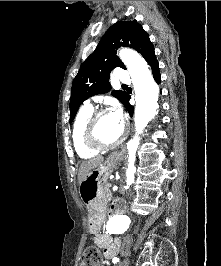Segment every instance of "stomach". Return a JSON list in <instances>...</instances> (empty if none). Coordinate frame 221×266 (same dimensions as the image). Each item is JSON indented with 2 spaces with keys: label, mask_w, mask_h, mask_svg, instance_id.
<instances>
[{
  "label": "stomach",
  "mask_w": 221,
  "mask_h": 266,
  "mask_svg": "<svg viewBox=\"0 0 221 266\" xmlns=\"http://www.w3.org/2000/svg\"><path fill=\"white\" fill-rule=\"evenodd\" d=\"M119 159L111 155L101 165L88 172L79 183L80 198L90 209V229H96L101 222V214L106 207L104 186Z\"/></svg>",
  "instance_id": "stomach-1"
}]
</instances>
